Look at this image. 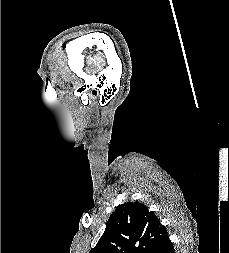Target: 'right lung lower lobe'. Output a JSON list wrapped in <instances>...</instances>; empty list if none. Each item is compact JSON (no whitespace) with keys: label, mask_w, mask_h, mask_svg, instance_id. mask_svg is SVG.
<instances>
[{"label":"right lung lower lobe","mask_w":229,"mask_h":253,"mask_svg":"<svg viewBox=\"0 0 229 253\" xmlns=\"http://www.w3.org/2000/svg\"><path fill=\"white\" fill-rule=\"evenodd\" d=\"M158 253H175L172 242L169 241L158 251Z\"/></svg>","instance_id":"right-lung-lower-lobe-1"}]
</instances>
